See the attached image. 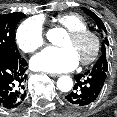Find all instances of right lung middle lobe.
Segmentation results:
<instances>
[{"mask_svg":"<svg viewBox=\"0 0 117 117\" xmlns=\"http://www.w3.org/2000/svg\"><path fill=\"white\" fill-rule=\"evenodd\" d=\"M23 13H11L0 16V55H20L14 40L17 23L24 18Z\"/></svg>","mask_w":117,"mask_h":117,"instance_id":"obj_1","label":"right lung middle lobe"}]
</instances>
